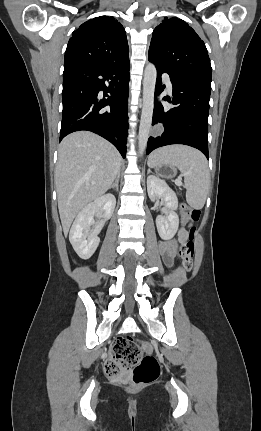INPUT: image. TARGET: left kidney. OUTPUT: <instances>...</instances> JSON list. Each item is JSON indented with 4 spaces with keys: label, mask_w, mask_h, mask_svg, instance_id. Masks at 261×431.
<instances>
[{
    "label": "left kidney",
    "mask_w": 261,
    "mask_h": 431,
    "mask_svg": "<svg viewBox=\"0 0 261 431\" xmlns=\"http://www.w3.org/2000/svg\"><path fill=\"white\" fill-rule=\"evenodd\" d=\"M148 196L152 202L163 199L169 211L165 216L158 215L156 226L159 236L163 240H170L176 234L179 227V217L175 212L178 208L176 194L169 188L165 181L150 175L147 178Z\"/></svg>",
    "instance_id": "left-kidney-1"
}]
</instances>
